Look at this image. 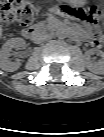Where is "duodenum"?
<instances>
[{
	"label": "duodenum",
	"instance_id": "obj_1",
	"mask_svg": "<svg viewBox=\"0 0 104 137\" xmlns=\"http://www.w3.org/2000/svg\"><path fill=\"white\" fill-rule=\"evenodd\" d=\"M23 34L28 38L34 37L37 34V29L34 27L25 28L23 30ZM74 37L79 40H86L88 38L83 30H79L77 33H75Z\"/></svg>",
	"mask_w": 104,
	"mask_h": 137
}]
</instances>
